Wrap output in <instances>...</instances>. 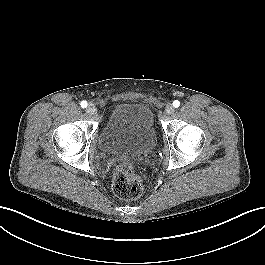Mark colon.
I'll list each match as a JSON object with an SVG mask.
<instances>
[{
	"label": "colon",
	"instance_id": "obj_1",
	"mask_svg": "<svg viewBox=\"0 0 265 265\" xmlns=\"http://www.w3.org/2000/svg\"><path fill=\"white\" fill-rule=\"evenodd\" d=\"M112 189L116 196L131 200L143 193L144 184L142 176L130 162L118 163L112 176Z\"/></svg>",
	"mask_w": 265,
	"mask_h": 265
}]
</instances>
